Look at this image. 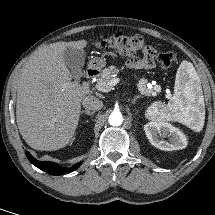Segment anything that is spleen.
<instances>
[{
  "label": "spleen",
  "instance_id": "1",
  "mask_svg": "<svg viewBox=\"0 0 215 215\" xmlns=\"http://www.w3.org/2000/svg\"><path fill=\"white\" fill-rule=\"evenodd\" d=\"M197 73L192 63L183 60L177 71L174 95L168 104L153 103L146 115L156 121H177L199 132L204 125L205 105L197 90Z\"/></svg>",
  "mask_w": 215,
  "mask_h": 215
}]
</instances>
